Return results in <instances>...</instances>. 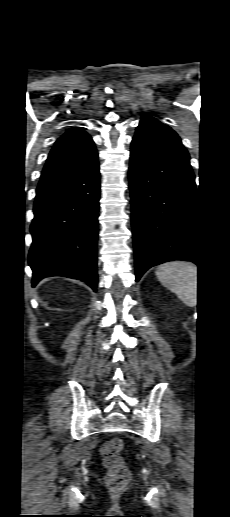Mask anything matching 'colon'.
Returning a JSON list of instances; mask_svg holds the SVG:
<instances>
[{
	"label": "colon",
	"instance_id": "obj_1",
	"mask_svg": "<svg viewBox=\"0 0 230 517\" xmlns=\"http://www.w3.org/2000/svg\"><path fill=\"white\" fill-rule=\"evenodd\" d=\"M124 444L119 438H112L101 448L103 465L107 469L106 482L110 489L124 488L131 479V474L121 456Z\"/></svg>",
	"mask_w": 230,
	"mask_h": 517
}]
</instances>
